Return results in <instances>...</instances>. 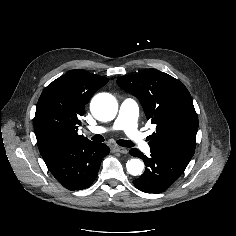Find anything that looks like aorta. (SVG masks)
Returning a JSON list of instances; mask_svg holds the SVG:
<instances>
[{"label": "aorta", "mask_w": 236, "mask_h": 236, "mask_svg": "<svg viewBox=\"0 0 236 236\" xmlns=\"http://www.w3.org/2000/svg\"><path fill=\"white\" fill-rule=\"evenodd\" d=\"M93 116L101 121H110L115 118L118 111L116 99L108 93H100L94 96L90 104ZM129 174L140 175L144 170V163L140 159H130L126 163Z\"/></svg>", "instance_id": "762f6f07"}]
</instances>
